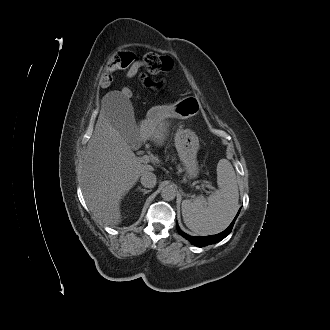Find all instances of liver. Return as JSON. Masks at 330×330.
<instances>
[{
    "label": "liver",
    "instance_id": "liver-1",
    "mask_svg": "<svg viewBox=\"0 0 330 330\" xmlns=\"http://www.w3.org/2000/svg\"><path fill=\"white\" fill-rule=\"evenodd\" d=\"M116 107V106H115ZM114 106L103 105L88 142L83 161L81 187L94 217L106 225L121 223L120 202L151 165L143 164L128 140L114 127ZM169 123L149 111L136 127V135L162 145Z\"/></svg>",
    "mask_w": 330,
    "mask_h": 330
}]
</instances>
